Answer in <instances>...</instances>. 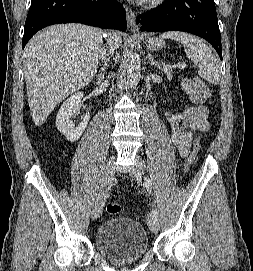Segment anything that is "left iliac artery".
I'll use <instances>...</instances> for the list:
<instances>
[{
	"mask_svg": "<svg viewBox=\"0 0 253 271\" xmlns=\"http://www.w3.org/2000/svg\"><path fill=\"white\" fill-rule=\"evenodd\" d=\"M145 187H146L147 191L151 193V191H152V183H151V180H150V178L148 176L145 177ZM151 214L154 215L155 217H158L157 209L153 208L152 211H151Z\"/></svg>",
	"mask_w": 253,
	"mask_h": 271,
	"instance_id": "left-iliac-artery-1",
	"label": "left iliac artery"
}]
</instances>
